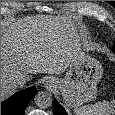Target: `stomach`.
<instances>
[{
  "label": "stomach",
  "instance_id": "obj_1",
  "mask_svg": "<svg viewBox=\"0 0 115 115\" xmlns=\"http://www.w3.org/2000/svg\"><path fill=\"white\" fill-rule=\"evenodd\" d=\"M102 76L101 63L82 51L70 64L65 77L58 80L57 87L68 106L78 107L95 98Z\"/></svg>",
  "mask_w": 115,
  "mask_h": 115
}]
</instances>
